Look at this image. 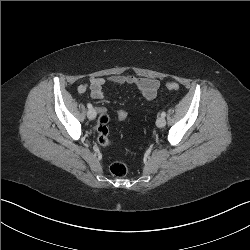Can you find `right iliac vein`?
<instances>
[{"label": "right iliac vein", "mask_w": 250, "mask_h": 250, "mask_svg": "<svg viewBox=\"0 0 250 250\" xmlns=\"http://www.w3.org/2000/svg\"><path fill=\"white\" fill-rule=\"evenodd\" d=\"M87 117L90 119V120H93L96 118V111L92 108V109H89L88 112H87Z\"/></svg>", "instance_id": "63e3f726"}]
</instances>
